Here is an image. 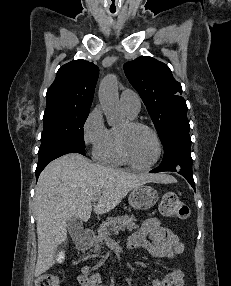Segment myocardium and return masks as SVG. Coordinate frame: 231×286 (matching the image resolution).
Returning a JSON list of instances; mask_svg holds the SVG:
<instances>
[{"mask_svg": "<svg viewBox=\"0 0 231 286\" xmlns=\"http://www.w3.org/2000/svg\"><path fill=\"white\" fill-rule=\"evenodd\" d=\"M138 128H142V129L149 131L153 135L155 142H156V145H157L156 157L154 158V160L152 162H150L147 165L136 164L132 160V158L130 157V155L128 153V149H127L126 132L129 130L138 129ZM117 141H118V150H119V153H120L122 159L124 160V162L126 164H128L130 167H132L135 170H139V171L149 170L153 166H155L159 162V160L161 159V156L163 153V144H162L161 138H160L159 134L157 133V131L153 127H151V126H149L143 122L133 120V119L128 120L126 122V131L118 130Z\"/></svg>", "mask_w": 231, "mask_h": 286, "instance_id": "obj_1", "label": "myocardium"}]
</instances>
